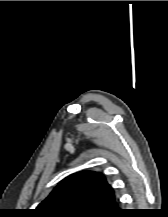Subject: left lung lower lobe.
I'll list each match as a JSON object with an SVG mask.
<instances>
[{
  "label": "left lung lower lobe",
  "mask_w": 168,
  "mask_h": 217,
  "mask_svg": "<svg viewBox=\"0 0 168 217\" xmlns=\"http://www.w3.org/2000/svg\"><path fill=\"white\" fill-rule=\"evenodd\" d=\"M123 210L119 209V202L115 200L113 205L108 209L105 213L101 215V217H122Z\"/></svg>",
  "instance_id": "1"
}]
</instances>
